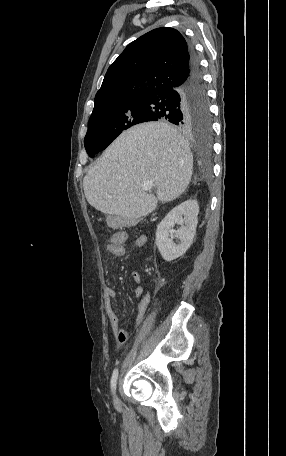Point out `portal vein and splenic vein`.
<instances>
[{
    "label": "portal vein and splenic vein",
    "instance_id": "18ae733b",
    "mask_svg": "<svg viewBox=\"0 0 286 456\" xmlns=\"http://www.w3.org/2000/svg\"><path fill=\"white\" fill-rule=\"evenodd\" d=\"M153 186H154V183H153L152 181H149V180L144 181V182L142 183V189H143L144 191H149V190H151V189L153 188Z\"/></svg>",
    "mask_w": 286,
    "mask_h": 456
}]
</instances>
